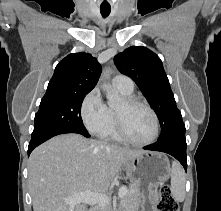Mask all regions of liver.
Instances as JSON below:
<instances>
[{"label":"liver","mask_w":221,"mask_h":211,"mask_svg":"<svg viewBox=\"0 0 221 211\" xmlns=\"http://www.w3.org/2000/svg\"><path fill=\"white\" fill-rule=\"evenodd\" d=\"M143 151L78 134L56 136L30 155L28 183L34 211H88L64 200L85 191L104 194L126 163Z\"/></svg>","instance_id":"liver-1"}]
</instances>
